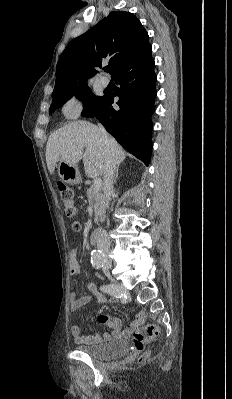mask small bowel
Segmentation results:
<instances>
[{"label": "small bowel", "instance_id": "obj_1", "mask_svg": "<svg viewBox=\"0 0 232 399\" xmlns=\"http://www.w3.org/2000/svg\"><path fill=\"white\" fill-rule=\"evenodd\" d=\"M85 254L84 252L79 251L78 249H71L69 252V272L71 275H77L80 273V263L84 261ZM88 291L90 292L89 297L85 298H77V295L74 291H71L69 294V312L76 313L80 309H82L91 298H95L98 301H102L103 297L98 292L96 286L90 280H83ZM99 323H105L110 328L113 329V338H119L123 333H131L138 330L144 320H145V312L143 310H139L134 318V321L126 327H122L118 320L114 316L110 315H99L97 317ZM70 333L72 341L77 345H102L104 341L108 340L105 336L102 338L100 334H83L81 332V327L77 323H73L70 327Z\"/></svg>", "mask_w": 232, "mask_h": 399}]
</instances>
